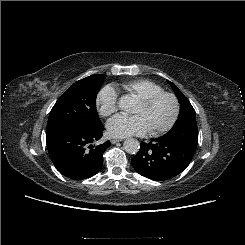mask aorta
Instances as JSON below:
<instances>
[{"label":"aorta","instance_id":"1","mask_svg":"<svg viewBox=\"0 0 245 245\" xmlns=\"http://www.w3.org/2000/svg\"><path fill=\"white\" fill-rule=\"evenodd\" d=\"M119 107L124 110L127 108V97H122L119 101ZM140 143L137 139L128 138L123 143V149L129 154H136L139 151Z\"/></svg>","mask_w":245,"mask_h":245}]
</instances>
